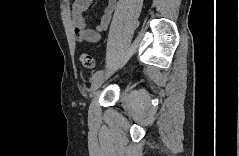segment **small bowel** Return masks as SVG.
Masks as SVG:
<instances>
[{"label": "small bowel", "mask_w": 239, "mask_h": 156, "mask_svg": "<svg viewBox=\"0 0 239 156\" xmlns=\"http://www.w3.org/2000/svg\"><path fill=\"white\" fill-rule=\"evenodd\" d=\"M91 0H75L72 4V25L74 35L78 41L97 42L100 34L107 29L111 22L112 13L116 6L115 0H108L103 8L99 22L94 28L86 25L84 13L90 6Z\"/></svg>", "instance_id": "1"}]
</instances>
